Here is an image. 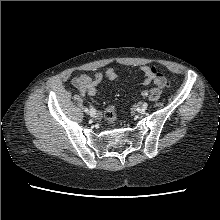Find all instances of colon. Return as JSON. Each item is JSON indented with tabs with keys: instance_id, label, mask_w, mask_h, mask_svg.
<instances>
[{
	"instance_id": "5ec220e1",
	"label": "colon",
	"mask_w": 220,
	"mask_h": 220,
	"mask_svg": "<svg viewBox=\"0 0 220 220\" xmlns=\"http://www.w3.org/2000/svg\"><path fill=\"white\" fill-rule=\"evenodd\" d=\"M155 84L162 89H168L170 87V81L164 75H160V76L157 75L155 79ZM104 118L108 124L111 125L115 124L117 117H116V108L114 105H109L105 109Z\"/></svg>"
}]
</instances>
